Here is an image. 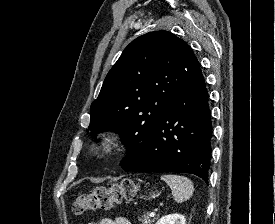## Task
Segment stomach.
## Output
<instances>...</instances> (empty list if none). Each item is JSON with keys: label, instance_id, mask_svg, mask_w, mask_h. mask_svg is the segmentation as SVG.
Wrapping results in <instances>:
<instances>
[{"label": "stomach", "instance_id": "1", "mask_svg": "<svg viewBox=\"0 0 275 224\" xmlns=\"http://www.w3.org/2000/svg\"><path fill=\"white\" fill-rule=\"evenodd\" d=\"M158 196V192L157 191H155V192H150L149 193V199H153V198H156ZM142 197H144V196H142Z\"/></svg>", "mask_w": 275, "mask_h": 224}]
</instances>
